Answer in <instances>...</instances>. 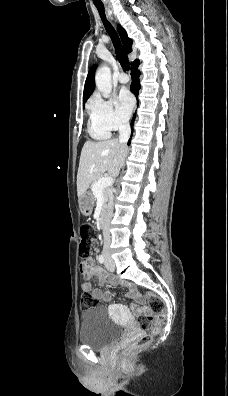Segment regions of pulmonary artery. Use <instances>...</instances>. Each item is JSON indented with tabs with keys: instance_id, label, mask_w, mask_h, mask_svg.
<instances>
[{
	"instance_id": "e3ab8cb5",
	"label": "pulmonary artery",
	"mask_w": 228,
	"mask_h": 396,
	"mask_svg": "<svg viewBox=\"0 0 228 396\" xmlns=\"http://www.w3.org/2000/svg\"><path fill=\"white\" fill-rule=\"evenodd\" d=\"M117 80H118L120 83L125 84V83H127V82L129 81V77H128L126 74H124V73H120V74L117 76Z\"/></svg>"
}]
</instances>
